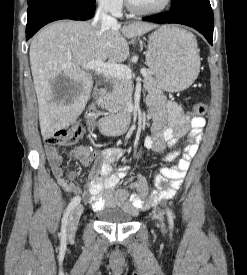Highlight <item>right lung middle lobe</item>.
Here are the masks:
<instances>
[{"instance_id": "1", "label": "right lung middle lobe", "mask_w": 247, "mask_h": 275, "mask_svg": "<svg viewBox=\"0 0 247 275\" xmlns=\"http://www.w3.org/2000/svg\"><path fill=\"white\" fill-rule=\"evenodd\" d=\"M43 1H47V0H28V5H32V4L43 2ZM70 1H74V2L82 3V4H95L96 0H70Z\"/></svg>"}]
</instances>
